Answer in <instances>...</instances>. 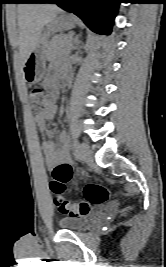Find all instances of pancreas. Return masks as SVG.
<instances>
[{"label": "pancreas", "instance_id": "obj_1", "mask_svg": "<svg viewBox=\"0 0 166 267\" xmlns=\"http://www.w3.org/2000/svg\"><path fill=\"white\" fill-rule=\"evenodd\" d=\"M70 50V37L67 35H55L50 43L46 53V58L52 60L60 57Z\"/></svg>", "mask_w": 166, "mask_h": 267}]
</instances>
